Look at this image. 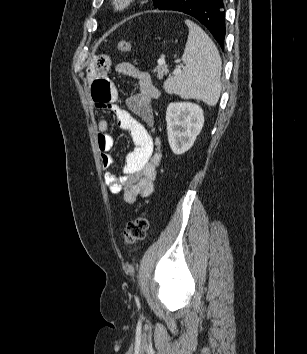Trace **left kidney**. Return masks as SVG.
<instances>
[{
  "label": "left kidney",
  "instance_id": "left-kidney-1",
  "mask_svg": "<svg viewBox=\"0 0 307 354\" xmlns=\"http://www.w3.org/2000/svg\"><path fill=\"white\" fill-rule=\"evenodd\" d=\"M167 134L171 150L180 155L188 151L204 124L202 108L192 102L170 103L166 111Z\"/></svg>",
  "mask_w": 307,
  "mask_h": 354
}]
</instances>
